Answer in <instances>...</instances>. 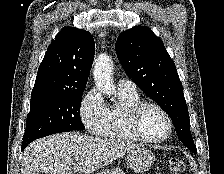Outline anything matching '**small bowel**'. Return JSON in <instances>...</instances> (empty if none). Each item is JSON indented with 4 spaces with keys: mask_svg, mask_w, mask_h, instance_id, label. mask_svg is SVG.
Returning <instances> with one entry per match:
<instances>
[{
    "mask_svg": "<svg viewBox=\"0 0 224 174\" xmlns=\"http://www.w3.org/2000/svg\"><path fill=\"white\" fill-rule=\"evenodd\" d=\"M115 174H122V173L117 172V173H115Z\"/></svg>",
    "mask_w": 224,
    "mask_h": 174,
    "instance_id": "1",
    "label": "small bowel"
}]
</instances>
